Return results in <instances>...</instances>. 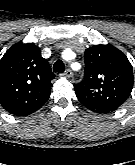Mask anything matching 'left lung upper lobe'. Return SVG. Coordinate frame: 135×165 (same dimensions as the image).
Instances as JSON below:
<instances>
[{
  "instance_id": "1",
  "label": "left lung upper lobe",
  "mask_w": 135,
  "mask_h": 165,
  "mask_svg": "<svg viewBox=\"0 0 135 165\" xmlns=\"http://www.w3.org/2000/svg\"><path fill=\"white\" fill-rule=\"evenodd\" d=\"M84 58V80L74 84L78 100L97 113L116 110L133 88V70L128 58L110 44L86 49Z\"/></svg>"
}]
</instances>
